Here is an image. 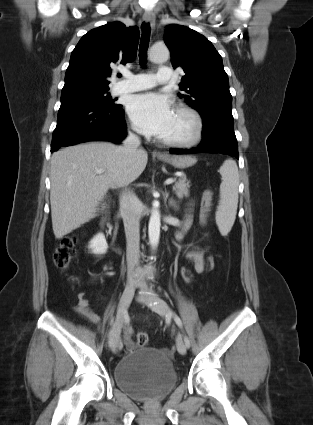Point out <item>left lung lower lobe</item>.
I'll list each match as a JSON object with an SVG mask.
<instances>
[{"label": "left lung lower lobe", "mask_w": 313, "mask_h": 425, "mask_svg": "<svg viewBox=\"0 0 313 425\" xmlns=\"http://www.w3.org/2000/svg\"><path fill=\"white\" fill-rule=\"evenodd\" d=\"M202 138L201 144L196 148L170 149V153L195 154L210 151L239 158L232 115L212 114L203 117Z\"/></svg>", "instance_id": "obj_1"}]
</instances>
